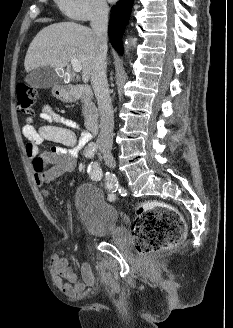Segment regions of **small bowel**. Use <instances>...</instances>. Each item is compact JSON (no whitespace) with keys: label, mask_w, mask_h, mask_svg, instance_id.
Here are the masks:
<instances>
[{"label":"small bowel","mask_w":233,"mask_h":328,"mask_svg":"<svg viewBox=\"0 0 233 328\" xmlns=\"http://www.w3.org/2000/svg\"><path fill=\"white\" fill-rule=\"evenodd\" d=\"M40 117L44 124L38 128L33 126L31 119H26L22 134L27 140L26 155L33 163L42 142L51 141L60 145L43 155L46 161L54 164V168L45 173L35 172L36 184L44 187L74 168L79 151L91 141L92 134L83 131L77 138L74 130L79 129V126L74 121L56 114L50 106H44ZM43 193L48 194L46 190ZM51 267L56 286L71 298L85 295L87 289L94 285V275L88 264H83L80 274H77L70 266L67 257L54 255L51 259Z\"/></svg>","instance_id":"obj_1"}]
</instances>
